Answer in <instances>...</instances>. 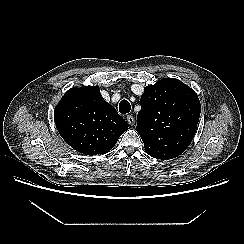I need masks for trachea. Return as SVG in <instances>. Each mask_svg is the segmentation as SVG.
<instances>
[{
	"label": "trachea",
	"mask_w": 244,
	"mask_h": 244,
	"mask_svg": "<svg viewBox=\"0 0 244 244\" xmlns=\"http://www.w3.org/2000/svg\"><path fill=\"white\" fill-rule=\"evenodd\" d=\"M131 110L130 103L127 100H122L119 104V112L122 114H127Z\"/></svg>",
	"instance_id": "obj_1"
}]
</instances>
